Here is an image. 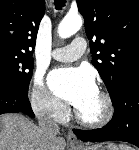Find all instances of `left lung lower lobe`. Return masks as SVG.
<instances>
[{"label": "left lung lower lobe", "instance_id": "left-lung-lower-lobe-1", "mask_svg": "<svg viewBox=\"0 0 139 150\" xmlns=\"http://www.w3.org/2000/svg\"><path fill=\"white\" fill-rule=\"evenodd\" d=\"M114 115L107 126L93 130L74 129L82 141H124L139 148V72L130 75L112 98Z\"/></svg>", "mask_w": 139, "mask_h": 150}]
</instances>
